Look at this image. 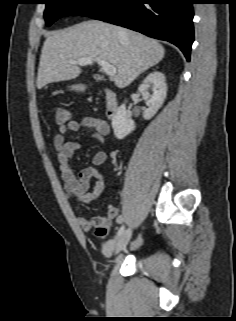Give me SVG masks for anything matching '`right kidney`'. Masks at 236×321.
I'll return each instance as SVG.
<instances>
[{"label": "right kidney", "instance_id": "ca27d5eb", "mask_svg": "<svg viewBox=\"0 0 236 321\" xmlns=\"http://www.w3.org/2000/svg\"><path fill=\"white\" fill-rule=\"evenodd\" d=\"M149 88L152 89V95H150L148 91ZM138 91L148 106L143 112V118L149 120L161 108L166 98L167 85L165 82V75L159 71H153L143 80ZM112 128L114 130V135L118 139H123L135 129V123L127 114L125 103L118 108L114 115L112 119Z\"/></svg>", "mask_w": 236, "mask_h": 321}]
</instances>
